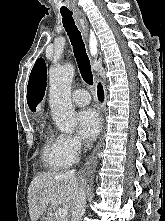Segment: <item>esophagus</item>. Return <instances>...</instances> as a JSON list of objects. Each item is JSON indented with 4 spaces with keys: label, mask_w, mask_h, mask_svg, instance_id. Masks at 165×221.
Segmentation results:
<instances>
[{
    "label": "esophagus",
    "mask_w": 165,
    "mask_h": 221,
    "mask_svg": "<svg viewBox=\"0 0 165 221\" xmlns=\"http://www.w3.org/2000/svg\"><path fill=\"white\" fill-rule=\"evenodd\" d=\"M74 15L78 21V24L80 26V29L83 33L84 38L88 41L89 26H88V22H87V19H86L84 13L80 9H75Z\"/></svg>",
    "instance_id": "obj_1"
}]
</instances>
